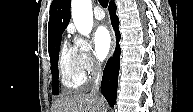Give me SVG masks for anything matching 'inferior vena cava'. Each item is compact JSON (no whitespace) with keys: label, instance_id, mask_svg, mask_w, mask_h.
I'll use <instances>...</instances> for the list:
<instances>
[{"label":"inferior vena cava","instance_id":"602c4592","mask_svg":"<svg viewBox=\"0 0 193 112\" xmlns=\"http://www.w3.org/2000/svg\"><path fill=\"white\" fill-rule=\"evenodd\" d=\"M93 75L95 77V80H94V85L91 93L98 95L100 90V84H101V68L99 63L95 64Z\"/></svg>","mask_w":193,"mask_h":112}]
</instances>
